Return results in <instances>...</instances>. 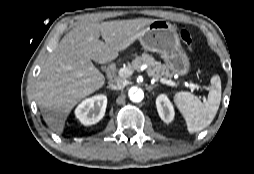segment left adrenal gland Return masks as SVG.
<instances>
[{
	"label": "left adrenal gland",
	"instance_id": "a2214340",
	"mask_svg": "<svg viewBox=\"0 0 254 174\" xmlns=\"http://www.w3.org/2000/svg\"><path fill=\"white\" fill-rule=\"evenodd\" d=\"M157 85H149L146 87L148 92H151Z\"/></svg>",
	"mask_w": 254,
	"mask_h": 174
}]
</instances>
